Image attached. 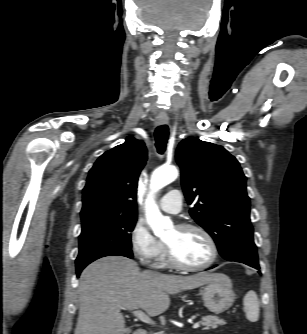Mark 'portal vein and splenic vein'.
Returning a JSON list of instances; mask_svg holds the SVG:
<instances>
[{
    "mask_svg": "<svg viewBox=\"0 0 307 334\" xmlns=\"http://www.w3.org/2000/svg\"><path fill=\"white\" fill-rule=\"evenodd\" d=\"M132 313L135 317H137L139 320H141L144 323L155 324L154 321L148 315H146L143 311L139 309L134 310ZM199 326H200V323L197 322L193 325V328L197 329Z\"/></svg>",
    "mask_w": 307,
    "mask_h": 334,
    "instance_id": "obj_1",
    "label": "portal vein and splenic vein"
}]
</instances>
